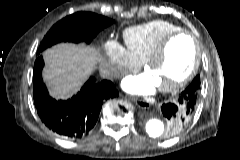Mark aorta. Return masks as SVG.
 <instances>
[{"mask_svg":"<svg viewBox=\"0 0 240 160\" xmlns=\"http://www.w3.org/2000/svg\"><path fill=\"white\" fill-rule=\"evenodd\" d=\"M145 130L150 137L159 138L166 131V123L158 118H150L145 123Z\"/></svg>","mask_w":240,"mask_h":160,"instance_id":"1","label":"aorta"}]
</instances>
